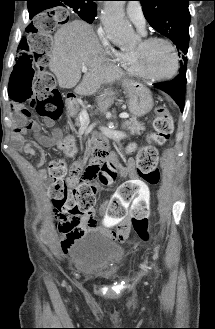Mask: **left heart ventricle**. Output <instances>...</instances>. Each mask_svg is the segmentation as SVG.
I'll return each instance as SVG.
<instances>
[{"instance_id": "obj_1", "label": "left heart ventricle", "mask_w": 215, "mask_h": 329, "mask_svg": "<svg viewBox=\"0 0 215 329\" xmlns=\"http://www.w3.org/2000/svg\"><path fill=\"white\" fill-rule=\"evenodd\" d=\"M138 47V46H137ZM175 66V59L170 47L164 43H155L146 52L144 69L154 76L170 74Z\"/></svg>"}]
</instances>
